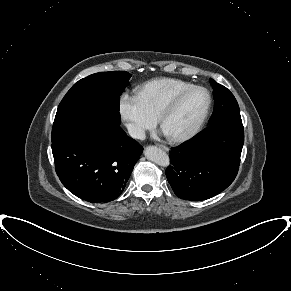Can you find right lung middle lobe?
<instances>
[{"label": "right lung middle lobe", "mask_w": 291, "mask_h": 291, "mask_svg": "<svg viewBox=\"0 0 291 291\" xmlns=\"http://www.w3.org/2000/svg\"><path fill=\"white\" fill-rule=\"evenodd\" d=\"M130 77L126 71L100 72L74 84L57 109L52 142L80 126L120 125L119 99Z\"/></svg>", "instance_id": "right-lung-middle-lobe-1"}]
</instances>
